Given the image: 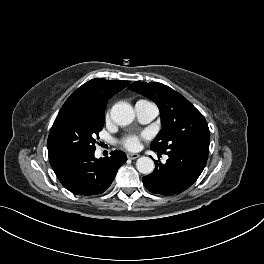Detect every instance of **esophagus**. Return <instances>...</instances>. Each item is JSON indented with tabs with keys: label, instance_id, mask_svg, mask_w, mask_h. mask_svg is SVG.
<instances>
[{
	"label": "esophagus",
	"instance_id": "1",
	"mask_svg": "<svg viewBox=\"0 0 264 264\" xmlns=\"http://www.w3.org/2000/svg\"><path fill=\"white\" fill-rule=\"evenodd\" d=\"M139 156H140L139 154H133V153L127 154V158L131 160L137 159Z\"/></svg>",
	"mask_w": 264,
	"mask_h": 264
}]
</instances>
